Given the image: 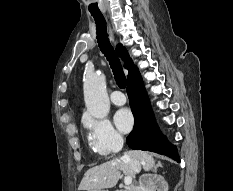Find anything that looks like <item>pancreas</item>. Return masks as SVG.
Listing matches in <instances>:
<instances>
[{"mask_svg":"<svg viewBox=\"0 0 233 191\" xmlns=\"http://www.w3.org/2000/svg\"><path fill=\"white\" fill-rule=\"evenodd\" d=\"M120 191H138L135 187L127 188L126 190H120Z\"/></svg>","mask_w":233,"mask_h":191,"instance_id":"obj_1","label":"pancreas"}]
</instances>
